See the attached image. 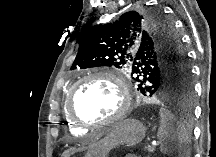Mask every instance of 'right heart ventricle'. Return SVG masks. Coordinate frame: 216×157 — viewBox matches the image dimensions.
<instances>
[{"label":"right heart ventricle","mask_w":216,"mask_h":157,"mask_svg":"<svg viewBox=\"0 0 216 157\" xmlns=\"http://www.w3.org/2000/svg\"><path fill=\"white\" fill-rule=\"evenodd\" d=\"M68 128L72 133L75 134H83L85 133V129L68 118Z\"/></svg>","instance_id":"e07e8e85"}]
</instances>
